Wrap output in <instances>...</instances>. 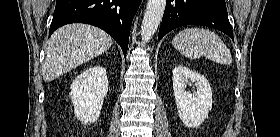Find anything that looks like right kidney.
Masks as SVG:
<instances>
[{
	"label": "right kidney",
	"instance_id": "right-kidney-1",
	"mask_svg": "<svg viewBox=\"0 0 280 137\" xmlns=\"http://www.w3.org/2000/svg\"><path fill=\"white\" fill-rule=\"evenodd\" d=\"M107 92L108 79L104 67L94 66L77 76L69 94L77 119L84 124L96 122Z\"/></svg>",
	"mask_w": 280,
	"mask_h": 137
}]
</instances>
